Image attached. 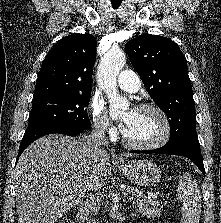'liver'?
Instances as JSON below:
<instances>
[{
  "instance_id": "obj_1",
  "label": "liver",
  "mask_w": 221,
  "mask_h": 223,
  "mask_svg": "<svg viewBox=\"0 0 221 223\" xmlns=\"http://www.w3.org/2000/svg\"><path fill=\"white\" fill-rule=\"evenodd\" d=\"M109 154H97L87 136L52 134L32 143L15 169L18 223H55L76 207L86 192L98 190L111 175Z\"/></svg>"
}]
</instances>
